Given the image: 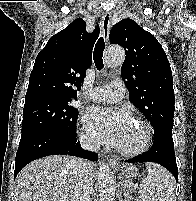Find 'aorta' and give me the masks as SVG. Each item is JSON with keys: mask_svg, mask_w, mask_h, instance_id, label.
<instances>
[{"mask_svg": "<svg viewBox=\"0 0 196 201\" xmlns=\"http://www.w3.org/2000/svg\"><path fill=\"white\" fill-rule=\"evenodd\" d=\"M125 59V52L120 46L109 47L104 55V62L107 66H119ZM98 191L100 201L115 200V181L108 164L99 163L98 170Z\"/></svg>", "mask_w": 196, "mask_h": 201, "instance_id": "aorta-1", "label": "aorta"}]
</instances>
